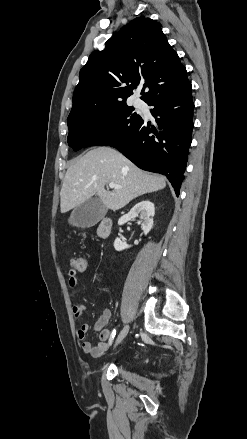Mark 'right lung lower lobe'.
I'll return each mask as SVG.
<instances>
[{
	"mask_svg": "<svg viewBox=\"0 0 247 439\" xmlns=\"http://www.w3.org/2000/svg\"><path fill=\"white\" fill-rule=\"evenodd\" d=\"M155 122L143 118L111 144L139 168L165 175L178 196L192 141L191 83L148 102Z\"/></svg>",
	"mask_w": 247,
	"mask_h": 439,
	"instance_id": "1",
	"label": "right lung lower lobe"
}]
</instances>
